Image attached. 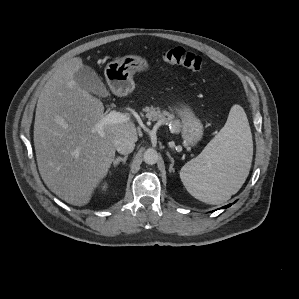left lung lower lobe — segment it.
Segmentation results:
<instances>
[{
    "label": "left lung lower lobe",
    "instance_id": "obj_1",
    "mask_svg": "<svg viewBox=\"0 0 299 299\" xmlns=\"http://www.w3.org/2000/svg\"><path fill=\"white\" fill-rule=\"evenodd\" d=\"M229 206H231V204H229V205H226V206H224V207H222V208H227V207H229Z\"/></svg>",
    "mask_w": 299,
    "mask_h": 299
}]
</instances>
